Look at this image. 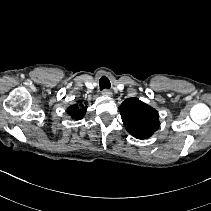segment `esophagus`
<instances>
[{
	"instance_id": "1",
	"label": "esophagus",
	"mask_w": 211,
	"mask_h": 211,
	"mask_svg": "<svg viewBox=\"0 0 211 211\" xmlns=\"http://www.w3.org/2000/svg\"><path fill=\"white\" fill-rule=\"evenodd\" d=\"M102 95L106 96V97H111L112 96V92L110 90H108V89H104L102 91Z\"/></svg>"
}]
</instances>
